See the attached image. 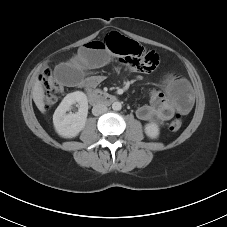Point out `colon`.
I'll list each match as a JSON object with an SVG mask.
<instances>
[{
	"mask_svg": "<svg viewBox=\"0 0 227 227\" xmlns=\"http://www.w3.org/2000/svg\"><path fill=\"white\" fill-rule=\"evenodd\" d=\"M106 45V50L118 55L120 58H135L141 62V72H150L159 64V56L152 51H145L138 43L112 32L101 40ZM43 89V103L45 108H50L57 100V95L62 92V85L53 77L50 69H45L40 76ZM182 126V118L177 115L169 124V129L178 131Z\"/></svg>",
	"mask_w": 227,
	"mask_h": 227,
	"instance_id": "colon-1",
	"label": "colon"
}]
</instances>
